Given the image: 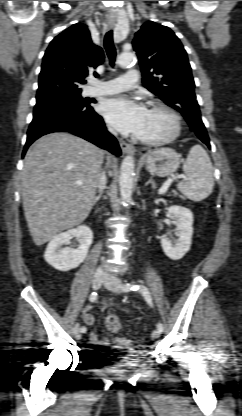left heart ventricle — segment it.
I'll return each instance as SVG.
<instances>
[{
    "instance_id": "obj_1",
    "label": "left heart ventricle",
    "mask_w": 242,
    "mask_h": 416,
    "mask_svg": "<svg viewBox=\"0 0 242 416\" xmlns=\"http://www.w3.org/2000/svg\"><path fill=\"white\" fill-rule=\"evenodd\" d=\"M172 128L170 115L160 109H147L141 130L137 137L155 140L166 136Z\"/></svg>"
}]
</instances>
